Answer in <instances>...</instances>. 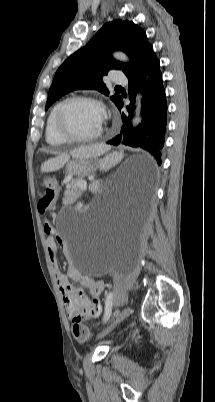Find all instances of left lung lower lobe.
I'll return each instance as SVG.
<instances>
[{
	"label": "left lung lower lobe",
	"instance_id": "left-lung-lower-lobe-1",
	"mask_svg": "<svg viewBox=\"0 0 215 402\" xmlns=\"http://www.w3.org/2000/svg\"><path fill=\"white\" fill-rule=\"evenodd\" d=\"M129 80L128 114L122 113L123 126L120 133L107 143L112 145L124 144L131 147H140L148 151L155 163L145 172V177L154 174L155 165H161V151L164 146L167 124V102L165 89L162 84L160 63L157 57L149 60L139 71L127 77ZM142 92V121L136 128H132L131 119L134 111L135 99L133 94ZM121 110L123 99L116 104Z\"/></svg>",
	"mask_w": 215,
	"mask_h": 402
}]
</instances>
